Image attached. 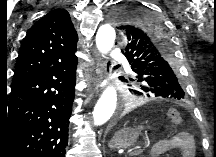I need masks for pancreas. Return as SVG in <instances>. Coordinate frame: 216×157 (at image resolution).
<instances>
[{"instance_id": "obj_1", "label": "pancreas", "mask_w": 216, "mask_h": 157, "mask_svg": "<svg viewBox=\"0 0 216 157\" xmlns=\"http://www.w3.org/2000/svg\"><path fill=\"white\" fill-rule=\"evenodd\" d=\"M141 152H142V151H141ZM141 152H133V153H131V156L140 154Z\"/></svg>"}]
</instances>
